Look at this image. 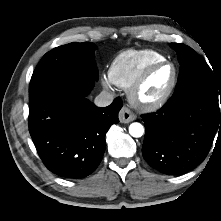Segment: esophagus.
I'll list each match as a JSON object with an SVG mask.
<instances>
[{
    "label": "esophagus",
    "instance_id": "obj_1",
    "mask_svg": "<svg viewBox=\"0 0 221 221\" xmlns=\"http://www.w3.org/2000/svg\"><path fill=\"white\" fill-rule=\"evenodd\" d=\"M136 119V115L126 106L119 112V120L121 123H129Z\"/></svg>",
    "mask_w": 221,
    "mask_h": 221
}]
</instances>
